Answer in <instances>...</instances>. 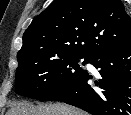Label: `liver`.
I'll use <instances>...</instances> for the list:
<instances>
[{"label": "liver", "instance_id": "liver-1", "mask_svg": "<svg viewBox=\"0 0 131 115\" xmlns=\"http://www.w3.org/2000/svg\"><path fill=\"white\" fill-rule=\"evenodd\" d=\"M6 115H88L85 112L65 104L38 105L29 102L16 103Z\"/></svg>", "mask_w": 131, "mask_h": 115}]
</instances>
